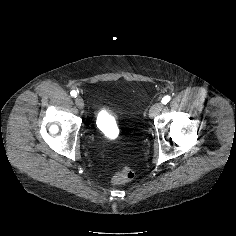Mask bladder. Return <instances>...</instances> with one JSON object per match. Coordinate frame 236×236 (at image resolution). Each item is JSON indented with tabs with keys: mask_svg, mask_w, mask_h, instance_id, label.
<instances>
[{
	"mask_svg": "<svg viewBox=\"0 0 236 236\" xmlns=\"http://www.w3.org/2000/svg\"><path fill=\"white\" fill-rule=\"evenodd\" d=\"M96 128L105 136H111L116 130V122L110 112L101 109L96 116Z\"/></svg>",
	"mask_w": 236,
	"mask_h": 236,
	"instance_id": "obj_1",
	"label": "bladder"
}]
</instances>
